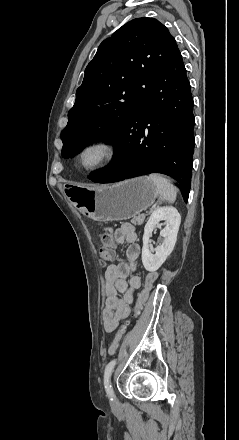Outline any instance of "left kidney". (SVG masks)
<instances>
[{"instance_id":"1","label":"left kidney","mask_w":239,"mask_h":440,"mask_svg":"<svg viewBox=\"0 0 239 440\" xmlns=\"http://www.w3.org/2000/svg\"><path fill=\"white\" fill-rule=\"evenodd\" d=\"M165 220V228L161 230L160 236H163V244L157 246L155 254H151L149 250V238L159 222ZM181 224V216L173 206H164L158 208L151 214L145 228L143 236L142 248V264L147 272H156L160 266L164 264L166 258L170 256L177 240L179 226Z\"/></svg>"}]
</instances>
